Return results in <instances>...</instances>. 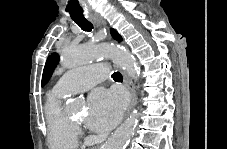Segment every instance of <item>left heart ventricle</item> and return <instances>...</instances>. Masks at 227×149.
Returning <instances> with one entry per match:
<instances>
[{"label":"left heart ventricle","mask_w":227,"mask_h":149,"mask_svg":"<svg viewBox=\"0 0 227 149\" xmlns=\"http://www.w3.org/2000/svg\"><path fill=\"white\" fill-rule=\"evenodd\" d=\"M84 116H80L78 118H76V121H81L83 119Z\"/></svg>","instance_id":"left-heart-ventricle-1"}]
</instances>
